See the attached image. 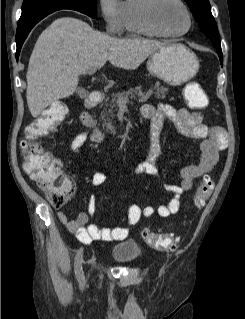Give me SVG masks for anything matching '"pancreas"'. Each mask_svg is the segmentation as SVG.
I'll return each mask as SVG.
<instances>
[{"mask_svg": "<svg viewBox=\"0 0 245 319\" xmlns=\"http://www.w3.org/2000/svg\"><path fill=\"white\" fill-rule=\"evenodd\" d=\"M152 93L155 94L157 99L165 98L166 92L168 89L160 84V82H156L154 86L150 89ZM142 86H136L135 88H130L127 91H123L121 93H116L112 95L111 100L108 102L106 100L105 107L103 112L101 113V119L103 121V127H105L107 132L115 133V127L112 123L110 117H114V109L117 110L119 106V101L121 99H135L136 97H142Z\"/></svg>", "mask_w": 245, "mask_h": 319, "instance_id": "cf45deb5", "label": "pancreas"}]
</instances>
